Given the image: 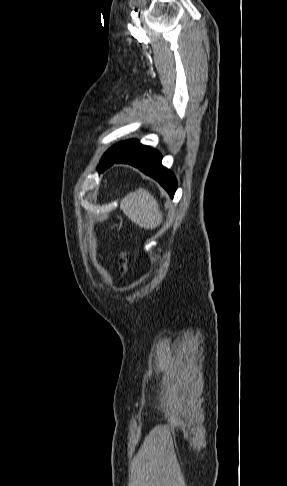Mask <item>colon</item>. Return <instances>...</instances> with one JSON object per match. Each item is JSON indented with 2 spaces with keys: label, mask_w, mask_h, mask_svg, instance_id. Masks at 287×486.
Wrapping results in <instances>:
<instances>
[{
  "label": "colon",
  "mask_w": 287,
  "mask_h": 486,
  "mask_svg": "<svg viewBox=\"0 0 287 486\" xmlns=\"http://www.w3.org/2000/svg\"><path fill=\"white\" fill-rule=\"evenodd\" d=\"M119 267L121 271H125L127 267V258L123 253L119 257Z\"/></svg>",
  "instance_id": "1"
}]
</instances>
